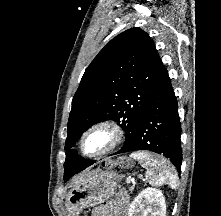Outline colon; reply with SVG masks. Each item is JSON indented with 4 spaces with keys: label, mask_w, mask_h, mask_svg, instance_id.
<instances>
[{
    "label": "colon",
    "mask_w": 221,
    "mask_h": 216,
    "mask_svg": "<svg viewBox=\"0 0 221 216\" xmlns=\"http://www.w3.org/2000/svg\"><path fill=\"white\" fill-rule=\"evenodd\" d=\"M121 164H122L123 166L129 167V166L131 165V162H130L129 160L125 159V160H122V161H121Z\"/></svg>",
    "instance_id": "colon-1"
}]
</instances>
